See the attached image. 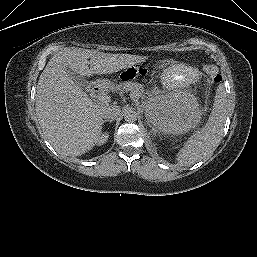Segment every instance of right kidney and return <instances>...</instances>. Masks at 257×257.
Instances as JSON below:
<instances>
[{
    "label": "right kidney",
    "instance_id": "ca27d5eb",
    "mask_svg": "<svg viewBox=\"0 0 257 257\" xmlns=\"http://www.w3.org/2000/svg\"><path fill=\"white\" fill-rule=\"evenodd\" d=\"M108 138H109L108 133L103 134V135L100 137V140H99V142H98L99 145L104 144L105 142H107Z\"/></svg>",
    "mask_w": 257,
    "mask_h": 257
}]
</instances>
